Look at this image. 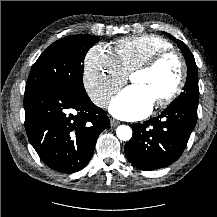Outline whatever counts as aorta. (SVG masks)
Listing matches in <instances>:
<instances>
[{
  "label": "aorta",
  "instance_id": "obj_1",
  "mask_svg": "<svg viewBox=\"0 0 217 217\" xmlns=\"http://www.w3.org/2000/svg\"><path fill=\"white\" fill-rule=\"evenodd\" d=\"M117 137L122 141H128L132 137V129L127 125H120L116 129Z\"/></svg>",
  "mask_w": 217,
  "mask_h": 217
}]
</instances>
